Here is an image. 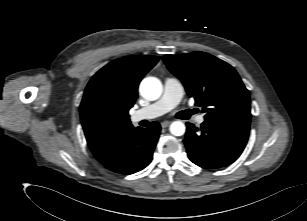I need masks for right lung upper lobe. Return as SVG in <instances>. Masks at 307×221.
<instances>
[{
  "instance_id": "cb5924a9",
  "label": "right lung upper lobe",
  "mask_w": 307,
  "mask_h": 221,
  "mask_svg": "<svg viewBox=\"0 0 307 221\" xmlns=\"http://www.w3.org/2000/svg\"><path fill=\"white\" fill-rule=\"evenodd\" d=\"M158 61V56L148 55L116 59L91 78L80 116L93 154L133 128L128 111L137 99L141 79Z\"/></svg>"
}]
</instances>
